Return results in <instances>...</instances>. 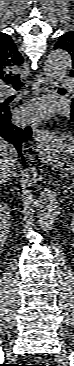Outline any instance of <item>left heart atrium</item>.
<instances>
[{"label": "left heart atrium", "instance_id": "39dd6f15", "mask_svg": "<svg viewBox=\"0 0 74 366\" xmlns=\"http://www.w3.org/2000/svg\"><path fill=\"white\" fill-rule=\"evenodd\" d=\"M51 113V106L45 101H37L21 111L23 118L43 119Z\"/></svg>", "mask_w": 74, "mask_h": 366}]
</instances>
